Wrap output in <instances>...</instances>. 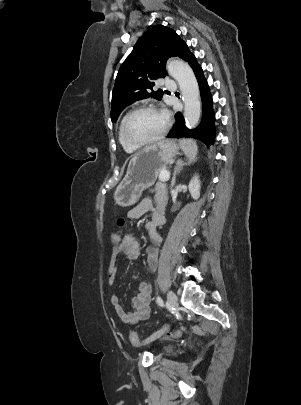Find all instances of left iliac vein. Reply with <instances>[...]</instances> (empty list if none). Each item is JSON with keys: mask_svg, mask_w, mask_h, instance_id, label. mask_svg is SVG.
Segmentation results:
<instances>
[{"mask_svg": "<svg viewBox=\"0 0 301 405\" xmlns=\"http://www.w3.org/2000/svg\"><path fill=\"white\" fill-rule=\"evenodd\" d=\"M167 301L170 307L172 308H176L177 307V296L176 294L172 291L169 290L167 293ZM167 327L157 331L156 333L152 334L150 337H148L145 340V343H149L152 342L154 340H156L157 338H159L160 336H162L166 331H167Z\"/></svg>", "mask_w": 301, "mask_h": 405, "instance_id": "left-iliac-vein-1", "label": "left iliac vein"}]
</instances>
